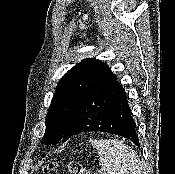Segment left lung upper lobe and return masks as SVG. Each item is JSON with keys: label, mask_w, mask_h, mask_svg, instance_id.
<instances>
[{"label": "left lung upper lobe", "mask_w": 175, "mask_h": 174, "mask_svg": "<svg viewBox=\"0 0 175 174\" xmlns=\"http://www.w3.org/2000/svg\"><path fill=\"white\" fill-rule=\"evenodd\" d=\"M112 74L107 64L95 59H86L71 68L56 87L41 142L56 144L62 140L78 102Z\"/></svg>", "instance_id": "1"}]
</instances>
